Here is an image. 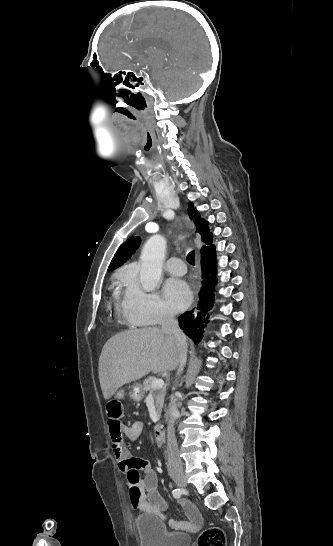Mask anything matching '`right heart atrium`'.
I'll return each instance as SVG.
<instances>
[{
  "label": "right heart atrium",
  "mask_w": 333,
  "mask_h": 546,
  "mask_svg": "<svg viewBox=\"0 0 333 546\" xmlns=\"http://www.w3.org/2000/svg\"><path fill=\"white\" fill-rule=\"evenodd\" d=\"M122 300L123 318L135 325H154L172 318V313L157 293L145 291L133 275L125 278Z\"/></svg>",
  "instance_id": "d8ad5b80"
}]
</instances>
